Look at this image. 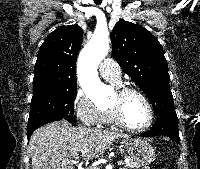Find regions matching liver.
<instances>
[{
  "label": "liver",
  "mask_w": 200,
  "mask_h": 169,
  "mask_svg": "<svg viewBox=\"0 0 200 169\" xmlns=\"http://www.w3.org/2000/svg\"><path fill=\"white\" fill-rule=\"evenodd\" d=\"M125 134L85 127H72L66 121L47 124L30 138L31 169H73L72 159L84 161L103 155L115 139Z\"/></svg>",
  "instance_id": "liver-1"
}]
</instances>
